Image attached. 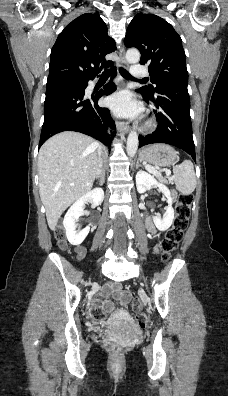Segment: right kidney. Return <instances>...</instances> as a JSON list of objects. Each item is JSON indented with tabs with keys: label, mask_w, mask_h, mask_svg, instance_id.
<instances>
[{
	"label": "right kidney",
	"mask_w": 228,
	"mask_h": 396,
	"mask_svg": "<svg viewBox=\"0 0 228 396\" xmlns=\"http://www.w3.org/2000/svg\"><path fill=\"white\" fill-rule=\"evenodd\" d=\"M104 200V191L101 188H95L85 193L79 198L66 213L63 225L66 231V236L70 244L80 245L87 237L90 227H86L83 230L76 231L75 222L81 215L84 214V206L87 202H91L92 206L100 205Z\"/></svg>",
	"instance_id": "obj_1"
}]
</instances>
